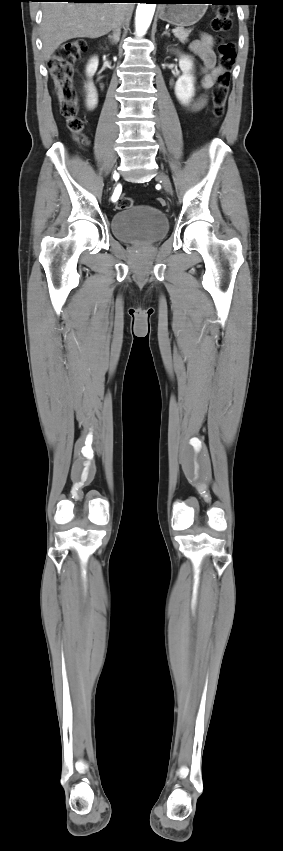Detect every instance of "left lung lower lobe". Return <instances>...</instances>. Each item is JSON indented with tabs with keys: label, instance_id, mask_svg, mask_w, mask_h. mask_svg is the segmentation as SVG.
<instances>
[{
	"label": "left lung lower lobe",
	"instance_id": "obj_1",
	"mask_svg": "<svg viewBox=\"0 0 283 851\" xmlns=\"http://www.w3.org/2000/svg\"><path fill=\"white\" fill-rule=\"evenodd\" d=\"M151 1H152V3H164V1H166V0H151ZM216 1L220 2L218 4H229V5H236L237 2H239V0H216Z\"/></svg>",
	"mask_w": 283,
	"mask_h": 851
}]
</instances>
